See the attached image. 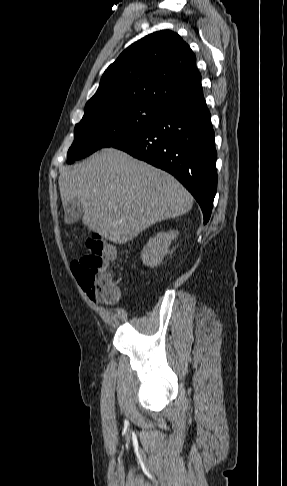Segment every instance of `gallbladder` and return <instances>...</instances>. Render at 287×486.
I'll return each instance as SVG.
<instances>
[{
	"label": "gallbladder",
	"mask_w": 287,
	"mask_h": 486,
	"mask_svg": "<svg viewBox=\"0 0 287 486\" xmlns=\"http://www.w3.org/2000/svg\"><path fill=\"white\" fill-rule=\"evenodd\" d=\"M65 217L64 221L66 224L76 223L83 215L84 208L78 199H70L64 207Z\"/></svg>",
	"instance_id": "obj_1"
}]
</instances>
